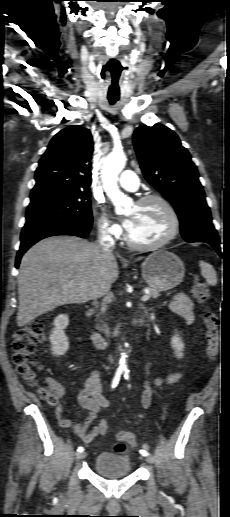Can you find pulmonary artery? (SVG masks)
Masks as SVG:
<instances>
[{
  "mask_svg": "<svg viewBox=\"0 0 230 517\" xmlns=\"http://www.w3.org/2000/svg\"><path fill=\"white\" fill-rule=\"evenodd\" d=\"M119 185L125 190L136 191L139 187V180L133 171L126 170L119 178Z\"/></svg>",
  "mask_w": 230,
  "mask_h": 517,
  "instance_id": "pulmonary-artery-1",
  "label": "pulmonary artery"
}]
</instances>
